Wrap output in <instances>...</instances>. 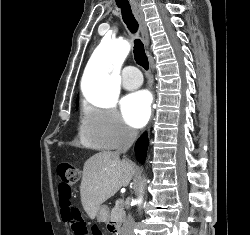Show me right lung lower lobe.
Segmentation results:
<instances>
[{
	"label": "right lung lower lobe",
	"mask_w": 250,
	"mask_h": 235,
	"mask_svg": "<svg viewBox=\"0 0 250 235\" xmlns=\"http://www.w3.org/2000/svg\"><path fill=\"white\" fill-rule=\"evenodd\" d=\"M148 148V134L144 133L136 142L135 153L138 161L144 163Z\"/></svg>",
	"instance_id": "obj_1"
}]
</instances>
